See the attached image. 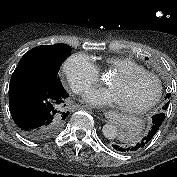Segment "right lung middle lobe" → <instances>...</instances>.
I'll return each instance as SVG.
<instances>
[{
    "label": "right lung middle lobe",
    "instance_id": "right-lung-middle-lobe-1",
    "mask_svg": "<svg viewBox=\"0 0 177 177\" xmlns=\"http://www.w3.org/2000/svg\"><path fill=\"white\" fill-rule=\"evenodd\" d=\"M71 48L65 44L38 46L28 51L19 61L12 74L11 82H45L62 88L58 77L61 64L68 57Z\"/></svg>",
    "mask_w": 177,
    "mask_h": 177
}]
</instances>
